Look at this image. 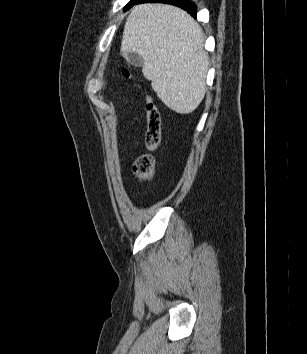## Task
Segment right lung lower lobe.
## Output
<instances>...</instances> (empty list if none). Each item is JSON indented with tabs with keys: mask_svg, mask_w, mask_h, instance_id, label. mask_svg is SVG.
<instances>
[{
	"mask_svg": "<svg viewBox=\"0 0 307 354\" xmlns=\"http://www.w3.org/2000/svg\"><path fill=\"white\" fill-rule=\"evenodd\" d=\"M146 2H161V3L172 4L186 10L192 16L196 17L197 7L190 0H137L135 4L146 3Z\"/></svg>",
	"mask_w": 307,
	"mask_h": 354,
	"instance_id": "1",
	"label": "right lung lower lobe"
}]
</instances>
